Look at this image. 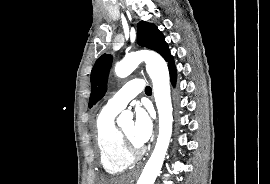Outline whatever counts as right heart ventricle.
Segmentation results:
<instances>
[{"mask_svg":"<svg viewBox=\"0 0 270 184\" xmlns=\"http://www.w3.org/2000/svg\"><path fill=\"white\" fill-rule=\"evenodd\" d=\"M118 111L104 107L96 120V143L103 169L111 175L119 174L129 167L134 159L123 149L119 129L115 125Z\"/></svg>","mask_w":270,"mask_h":184,"instance_id":"right-heart-ventricle-1","label":"right heart ventricle"}]
</instances>
